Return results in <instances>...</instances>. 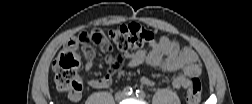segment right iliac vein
<instances>
[{
	"instance_id": "obj_1",
	"label": "right iliac vein",
	"mask_w": 252,
	"mask_h": 104,
	"mask_svg": "<svg viewBox=\"0 0 252 104\" xmlns=\"http://www.w3.org/2000/svg\"><path fill=\"white\" fill-rule=\"evenodd\" d=\"M123 98H124V94H123L122 92L116 93L115 99H116L117 101H121Z\"/></svg>"
}]
</instances>
